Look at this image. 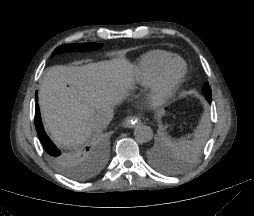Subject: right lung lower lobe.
<instances>
[{"instance_id":"obj_1","label":"right lung lower lobe","mask_w":254,"mask_h":216,"mask_svg":"<svg viewBox=\"0 0 254 216\" xmlns=\"http://www.w3.org/2000/svg\"><path fill=\"white\" fill-rule=\"evenodd\" d=\"M35 96H36V101H37L38 100L37 99V92H36ZM35 127L37 130V135H38L41 143L43 144L45 151L49 155V157L54 158V159L63 157L65 154H61V151L56 148V146L52 143V141L49 139V137L46 135V133L44 131L42 121H41L39 106L37 103L35 106ZM87 160H88V156L85 155L79 162L83 163V162H86Z\"/></svg>"}]
</instances>
